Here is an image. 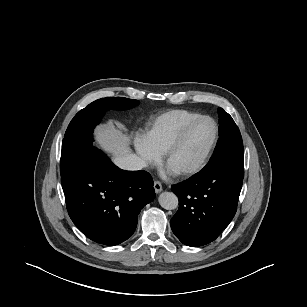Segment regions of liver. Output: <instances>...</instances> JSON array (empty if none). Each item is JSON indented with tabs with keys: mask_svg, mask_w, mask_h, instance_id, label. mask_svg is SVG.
<instances>
[{
	"mask_svg": "<svg viewBox=\"0 0 307 307\" xmlns=\"http://www.w3.org/2000/svg\"><path fill=\"white\" fill-rule=\"evenodd\" d=\"M96 139L104 151L113 155L114 161L118 157L130 154L129 137L111 124L100 127Z\"/></svg>",
	"mask_w": 307,
	"mask_h": 307,
	"instance_id": "liver-1",
	"label": "liver"
}]
</instances>
